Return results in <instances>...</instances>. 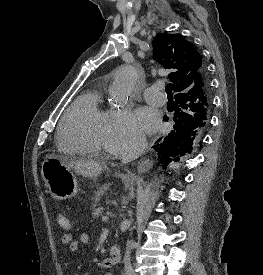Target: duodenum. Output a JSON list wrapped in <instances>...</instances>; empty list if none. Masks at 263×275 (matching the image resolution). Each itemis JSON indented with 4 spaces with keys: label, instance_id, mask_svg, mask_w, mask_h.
Masks as SVG:
<instances>
[{
    "label": "duodenum",
    "instance_id": "duodenum-1",
    "mask_svg": "<svg viewBox=\"0 0 263 275\" xmlns=\"http://www.w3.org/2000/svg\"><path fill=\"white\" fill-rule=\"evenodd\" d=\"M121 260V250L117 246H112L109 250V256L104 260L106 267H112L118 264Z\"/></svg>",
    "mask_w": 263,
    "mask_h": 275
}]
</instances>
